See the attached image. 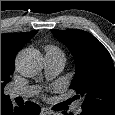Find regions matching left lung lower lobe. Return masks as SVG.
<instances>
[{
  "label": "left lung lower lobe",
  "mask_w": 115,
  "mask_h": 115,
  "mask_svg": "<svg viewBox=\"0 0 115 115\" xmlns=\"http://www.w3.org/2000/svg\"><path fill=\"white\" fill-rule=\"evenodd\" d=\"M65 115H68L65 111L63 112ZM70 115H73L72 113H70ZM80 115H92L90 113H85V112H82Z\"/></svg>",
  "instance_id": "obj_1"
}]
</instances>
